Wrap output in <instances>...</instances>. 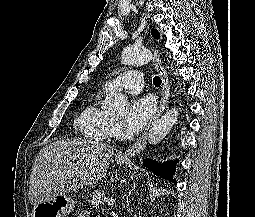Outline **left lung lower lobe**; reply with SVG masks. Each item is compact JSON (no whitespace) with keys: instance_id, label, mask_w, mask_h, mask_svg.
Masks as SVG:
<instances>
[{"instance_id":"left-lung-lower-lobe-1","label":"left lung lower lobe","mask_w":255,"mask_h":217,"mask_svg":"<svg viewBox=\"0 0 255 217\" xmlns=\"http://www.w3.org/2000/svg\"><path fill=\"white\" fill-rule=\"evenodd\" d=\"M143 164L152 171L155 175H158L162 178H167L175 183V181L172 179L173 174L175 172V162H166L164 164L157 163L155 161H151L149 159H145L143 161Z\"/></svg>"}]
</instances>
